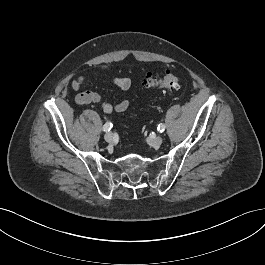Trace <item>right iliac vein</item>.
I'll use <instances>...</instances> for the list:
<instances>
[{
	"mask_svg": "<svg viewBox=\"0 0 265 265\" xmlns=\"http://www.w3.org/2000/svg\"><path fill=\"white\" fill-rule=\"evenodd\" d=\"M104 138H105V140H106L107 142L110 143V142L113 141V134H112L111 132H108V133L105 134Z\"/></svg>",
	"mask_w": 265,
	"mask_h": 265,
	"instance_id": "right-iliac-vein-1",
	"label": "right iliac vein"
}]
</instances>
